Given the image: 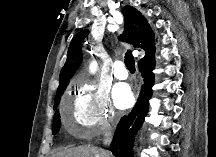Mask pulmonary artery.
<instances>
[{"label": "pulmonary artery", "mask_w": 216, "mask_h": 157, "mask_svg": "<svg viewBox=\"0 0 216 157\" xmlns=\"http://www.w3.org/2000/svg\"><path fill=\"white\" fill-rule=\"evenodd\" d=\"M113 74L117 79L120 80H124L127 78V69L122 61L117 60L113 63Z\"/></svg>", "instance_id": "e3ab8cb5"}]
</instances>
